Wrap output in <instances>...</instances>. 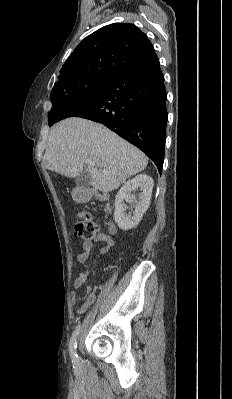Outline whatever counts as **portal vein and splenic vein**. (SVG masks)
<instances>
[{"instance_id": "portal-vein-and-splenic-vein-1", "label": "portal vein and splenic vein", "mask_w": 232, "mask_h": 399, "mask_svg": "<svg viewBox=\"0 0 232 399\" xmlns=\"http://www.w3.org/2000/svg\"><path fill=\"white\" fill-rule=\"evenodd\" d=\"M87 162H89V164H92V162H90V160H87Z\"/></svg>"}]
</instances>
